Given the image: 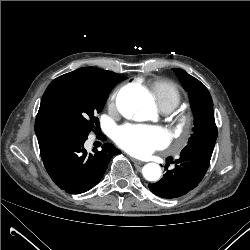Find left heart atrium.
Returning <instances> with one entry per match:
<instances>
[{"instance_id":"39dd6f15","label":"left heart atrium","mask_w":250,"mask_h":250,"mask_svg":"<svg viewBox=\"0 0 250 250\" xmlns=\"http://www.w3.org/2000/svg\"><path fill=\"white\" fill-rule=\"evenodd\" d=\"M117 144L135 156H146L170 142L169 133L159 126L125 125L115 135Z\"/></svg>"}]
</instances>
